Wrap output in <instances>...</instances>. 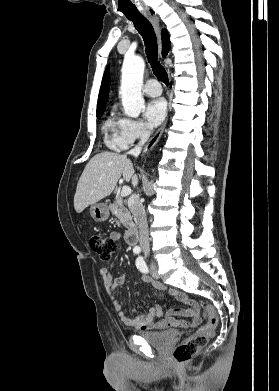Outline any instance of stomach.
Returning a JSON list of instances; mask_svg holds the SVG:
<instances>
[{"label": "stomach", "instance_id": "stomach-1", "mask_svg": "<svg viewBox=\"0 0 279 391\" xmlns=\"http://www.w3.org/2000/svg\"><path fill=\"white\" fill-rule=\"evenodd\" d=\"M90 215L96 222L105 221L109 217L108 207L103 203L93 204L90 207Z\"/></svg>", "mask_w": 279, "mask_h": 391}]
</instances>
